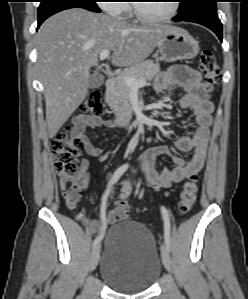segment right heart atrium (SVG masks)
Returning <instances> with one entry per match:
<instances>
[{
  "instance_id": "d8ad5b80",
  "label": "right heart atrium",
  "mask_w": 248,
  "mask_h": 299,
  "mask_svg": "<svg viewBox=\"0 0 248 299\" xmlns=\"http://www.w3.org/2000/svg\"><path fill=\"white\" fill-rule=\"evenodd\" d=\"M124 2L123 0H101L100 6L110 15L122 16L127 12V5Z\"/></svg>"
}]
</instances>
